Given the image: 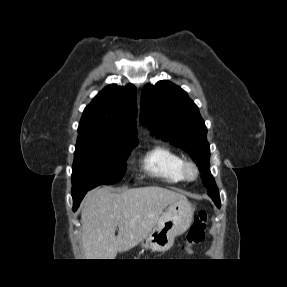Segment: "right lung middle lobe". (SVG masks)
Returning a JSON list of instances; mask_svg holds the SVG:
<instances>
[{"label":"right lung middle lobe","mask_w":287,"mask_h":287,"mask_svg":"<svg viewBox=\"0 0 287 287\" xmlns=\"http://www.w3.org/2000/svg\"><path fill=\"white\" fill-rule=\"evenodd\" d=\"M133 141L104 140L79 134L72 173V196L122 179Z\"/></svg>","instance_id":"dd1d6c3e"}]
</instances>
